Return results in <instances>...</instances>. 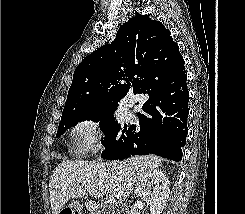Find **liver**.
Listing matches in <instances>:
<instances>
[{
    "label": "liver",
    "mask_w": 245,
    "mask_h": 214,
    "mask_svg": "<svg viewBox=\"0 0 245 214\" xmlns=\"http://www.w3.org/2000/svg\"><path fill=\"white\" fill-rule=\"evenodd\" d=\"M161 164V159L153 155L117 162L64 160L54 169L49 181L52 214H59L70 199L86 198L84 184L123 202L141 176Z\"/></svg>",
    "instance_id": "1"
}]
</instances>
